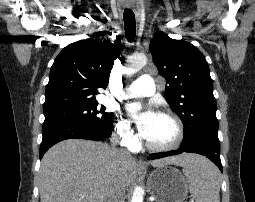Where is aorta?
<instances>
[{
    "label": "aorta",
    "mask_w": 255,
    "mask_h": 202,
    "mask_svg": "<svg viewBox=\"0 0 255 202\" xmlns=\"http://www.w3.org/2000/svg\"><path fill=\"white\" fill-rule=\"evenodd\" d=\"M148 62V59L143 54L133 55L128 59V74H134L142 69ZM144 190L141 187H136L131 202H143Z\"/></svg>",
    "instance_id": "aorta-1"
}]
</instances>
